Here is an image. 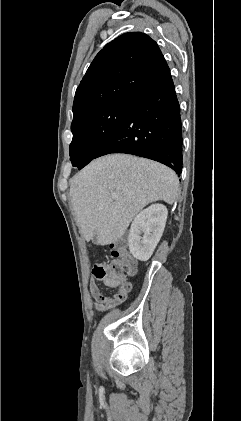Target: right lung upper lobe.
Here are the masks:
<instances>
[{
    "mask_svg": "<svg viewBox=\"0 0 241 421\" xmlns=\"http://www.w3.org/2000/svg\"><path fill=\"white\" fill-rule=\"evenodd\" d=\"M167 66L157 43L141 32L122 34L96 55L78 86L73 121L118 101L130 100Z\"/></svg>",
    "mask_w": 241,
    "mask_h": 421,
    "instance_id": "obj_1",
    "label": "right lung upper lobe"
}]
</instances>
